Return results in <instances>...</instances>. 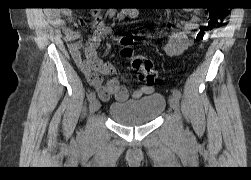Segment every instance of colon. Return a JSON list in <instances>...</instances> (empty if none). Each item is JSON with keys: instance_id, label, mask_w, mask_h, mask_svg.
<instances>
[{"instance_id": "colon-1", "label": "colon", "mask_w": 251, "mask_h": 180, "mask_svg": "<svg viewBox=\"0 0 251 180\" xmlns=\"http://www.w3.org/2000/svg\"><path fill=\"white\" fill-rule=\"evenodd\" d=\"M228 10L221 8L210 9L208 18L196 33V39L203 43L205 42L212 30L221 27L227 20ZM122 45L121 56L130 59L132 68L137 73L138 77L145 84L153 85L157 73L152 61L144 56H135L131 45L133 44V35L122 36L119 40Z\"/></svg>"}]
</instances>
